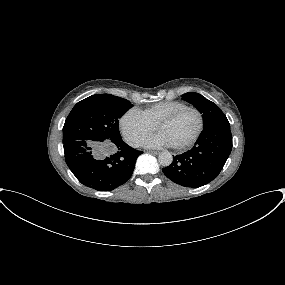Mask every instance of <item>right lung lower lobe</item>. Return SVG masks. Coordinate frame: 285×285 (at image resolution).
I'll return each mask as SVG.
<instances>
[{"instance_id": "obj_1", "label": "right lung lower lobe", "mask_w": 285, "mask_h": 285, "mask_svg": "<svg viewBox=\"0 0 285 285\" xmlns=\"http://www.w3.org/2000/svg\"><path fill=\"white\" fill-rule=\"evenodd\" d=\"M115 153L106 144L73 140L64 144L65 160L75 177L85 186L98 191H111L132 175L137 157L142 153L122 139L112 142Z\"/></svg>"}]
</instances>
